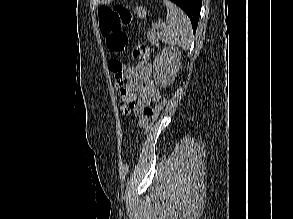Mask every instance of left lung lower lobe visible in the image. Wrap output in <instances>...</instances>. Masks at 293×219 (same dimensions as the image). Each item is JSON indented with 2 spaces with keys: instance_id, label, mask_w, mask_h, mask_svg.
I'll list each match as a JSON object with an SVG mask.
<instances>
[{
  "instance_id": "obj_1",
  "label": "left lung lower lobe",
  "mask_w": 293,
  "mask_h": 219,
  "mask_svg": "<svg viewBox=\"0 0 293 219\" xmlns=\"http://www.w3.org/2000/svg\"><path fill=\"white\" fill-rule=\"evenodd\" d=\"M181 7L191 20L193 33L196 32L202 0H171Z\"/></svg>"
}]
</instances>
